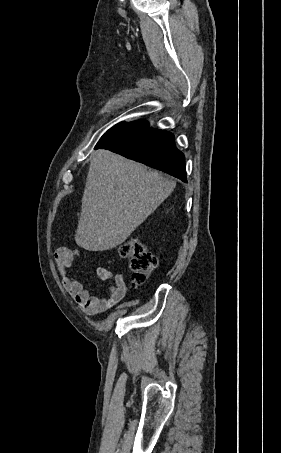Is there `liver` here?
<instances>
[{"label": "liver", "instance_id": "liver-1", "mask_svg": "<svg viewBox=\"0 0 281 453\" xmlns=\"http://www.w3.org/2000/svg\"><path fill=\"white\" fill-rule=\"evenodd\" d=\"M175 184L140 162L110 150H95L74 237L77 245L86 251H108L121 245Z\"/></svg>", "mask_w": 281, "mask_h": 453}]
</instances>
